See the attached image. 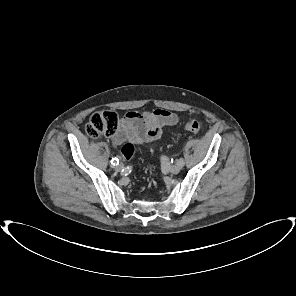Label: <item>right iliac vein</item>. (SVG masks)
I'll list each match as a JSON object with an SVG mask.
<instances>
[{
	"label": "right iliac vein",
	"instance_id": "1",
	"mask_svg": "<svg viewBox=\"0 0 296 296\" xmlns=\"http://www.w3.org/2000/svg\"><path fill=\"white\" fill-rule=\"evenodd\" d=\"M123 168H124V166H123L122 163L118 164V165L115 167L116 171H121Z\"/></svg>",
	"mask_w": 296,
	"mask_h": 296
}]
</instances>
